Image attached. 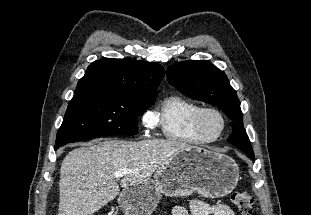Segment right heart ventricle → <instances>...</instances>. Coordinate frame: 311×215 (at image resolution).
I'll return each mask as SVG.
<instances>
[{"label":"right heart ventricle","instance_id":"e07e8e85","mask_svg":"<svg viewBox=\"0 0 311 215\" xmlns=\"http://www.w3.org/2000/svg\"><path fill=\"white\" fill-rule=\"evenodd\" d=\"M201 106L182 96L166 97L152 112L163 136L184 144L200 145L210 142L194 129L193 121Z\"/></svg>","mask_w":311,"mask_h":215}]
</instances>
